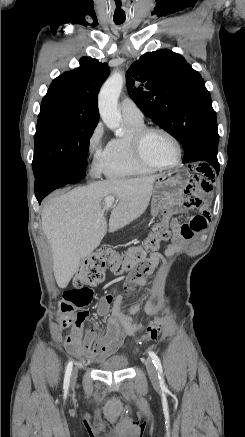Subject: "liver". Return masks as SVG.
Masks as SVG:
<instances>
[{
    "label": "liver",
    "instance_id": "liver-1",
    "mask_svg": "<svg viewBox=\"0 0 245 437\" xmlns=\"http://www.w3.org/2000/svg\"><path fill=\"white\" fill-rule=\"evenodd\" d=\"M157 177L94 182L45 204L42 229L51 246L54 276L60 288L67 287L81 261L99 246L107 231L115 232L145 212ZM109 196L117 201L107 224L101 204Z\"/></svg>",
    "mask_w": 245,
    "mask_h": 437
}]
</instances>
